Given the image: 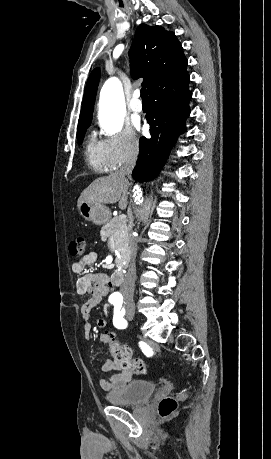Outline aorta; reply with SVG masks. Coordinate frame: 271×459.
Returning a JSON list of instances; mask_svg holds the SVG:
<instances>
[{"label":"aorta","instance_id":"obj_1","mask_svg":"<svg viewBox=\"0 0 271 459\" xmlns=\"http://www.w3.org/2000/svg\"><path fill=\"white\" fill-rule=\"evenodd\" d=\"M124 110L125 101L122 84L119 79L110 78L105 82L100 92L99 120L102 128L111 134L120 131L124 121ZM136 201L137 204L141 202L137 197Z\"/></svg>","mask_w":271,"mask_h":459}]
</instances>
